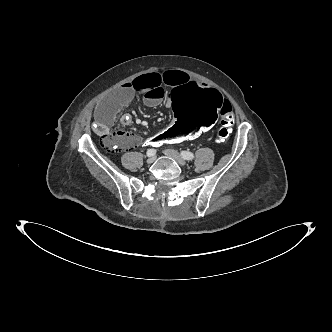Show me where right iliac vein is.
<instances>
[{
	"label": "right iliac vein",
	"instance_id": "right-iliac-vein-1",
	"mask_svg": "<svg viewBox=\"0 0 332 332\" xmlns=\"http://www.w3.org/2000/svg\"><path fill=\"white\" fill-rule=\"evenodd\" d=\"M155 160H156V157H155V156H150V157H148V159H147V163H148V164H152Z\"/></svg>",
	"mask_w": 332,
	"mask_h": 332
}]
</instances>
